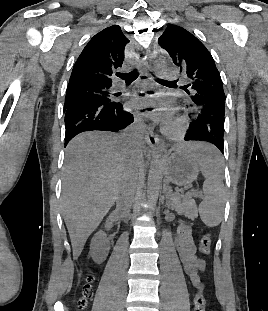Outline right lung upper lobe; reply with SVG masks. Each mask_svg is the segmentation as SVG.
<instances>
[{"instance_id":"cb5924a9","label":"right lung upper lobe","mask_w":268,"mask_h":311,"mask_svg":"<svg viewBox=\"0 0 268 311\" xmlns=\"http://www.w3.org/2000/svg\"><path fill=\"white\" fill-rule=\"evenodd\" d=\"M129 40L120 26L113 25L97 33L85 46L74 64L67 88L76 85L111 87L112 75L124 61Z\"/></svg>"}]
</instances>
